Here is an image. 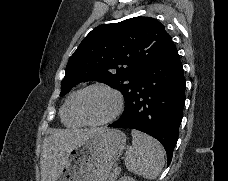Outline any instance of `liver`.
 I'll list each match as a JSON object with an SVG mask.
<instances>
[{"label": "liver", "instance_id": "obj_1", "mask_svg": "<svg viewBox=\"0 0 228 181\" xmlns=\"http://www.w3.org/2000/svg\"><path fill=\"white\" fill-rule=\"evenodd\" d=\"M102 129H53L50 137L43 143L41 153V177L42 181H58L67 163V157L78 143L85 141L90 133H96Z\"/></svg>", "mask_w": 228, "mask_h": 181}]
</instances>
